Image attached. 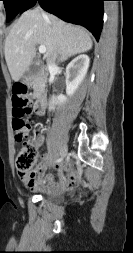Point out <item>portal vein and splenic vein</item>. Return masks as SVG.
Returning <instances> with one entry per match:
<instances>
[{
	"label": "portal vein and splenic vein",
	"mask_w": 133,
	"mask_h": 253,
	"mask_svg": "<svg viewBox=\"0 0 133 253\" xmlns=\"http://www.w3.org/2000/svg\"><path fill=\"white\" fill-rule=\"evenodd\" d=\"M38 49H39V52H40L41 54H45V53H46V47H45V46L40 45Z\"/></svg>",
	"instance_id": "1"
}]
</instances>
